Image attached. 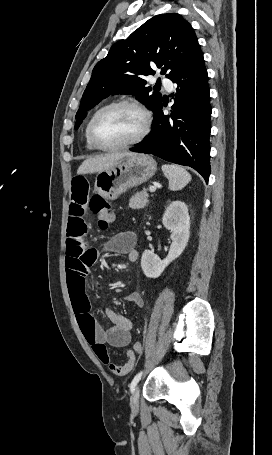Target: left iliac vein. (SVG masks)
Instances as JSON below:
<instances>
[{
    "mask_svg": "<svg viewBox=\"0 0 272 455\" xmlns=\"http://www.w3.org/2000/svg\"><path fill=\"white\" fill-rule=\"evenodd\" d=\"M139 393H140V388L137 386L134 391L132 392L131 399H130V405L132 410H137L139 406Z\"/></svg>",
    "mask_w": 272,
    "mask_h": 455,
    "instance_id": "4c4485c4",
    "label": "left iliac vein"
}]
</instances>
